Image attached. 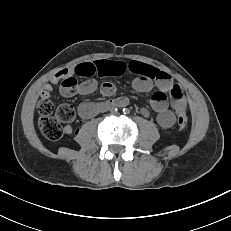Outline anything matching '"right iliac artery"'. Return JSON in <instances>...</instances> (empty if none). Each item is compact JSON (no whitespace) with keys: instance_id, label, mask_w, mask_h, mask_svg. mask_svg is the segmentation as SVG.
<instances>
[{"instance_id":"1","label":"right iliac artery","mask_w":231,"mask_h":231,"mask_svg":"<svg viewBox=\"0 0 231 231\" xmlns=\"http://www.w3.org/2000/svg\"><path fill=\"white\" fill-rule=\"evenodd\" d=\"M118 111V109H117V107H112L111 109H110V112L111 113H116Z\"/></svg>"}]
</instances>
